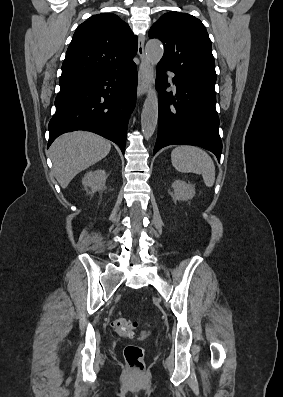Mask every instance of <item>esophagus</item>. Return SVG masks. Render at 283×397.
Listing matches in <instances>:
<instances>
[{
    "label": "esophagus",
    "instance_id": "esophagus-1",
    "mask_svg": "<svg viewBox=\"0 0 283 397\" xmlns=\"http://www.w3.org/2000/svg\"><path fill=\"white\" fill-rule=\"evenodd\" d=\"M144 43H145V36L140 35L138 37V55L140 57L141 62L139 66L138 86H137V94L139 98L147 93L152 77V66L150 64V61L145 55Z\"/></svg>",
    "mask_w": 283,
    "mask_h": 397
}]
</instances>
